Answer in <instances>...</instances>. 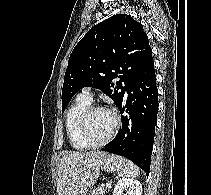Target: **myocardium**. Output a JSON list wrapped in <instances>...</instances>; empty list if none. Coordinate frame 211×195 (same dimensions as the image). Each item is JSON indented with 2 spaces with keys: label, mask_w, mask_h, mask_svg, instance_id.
Instances as JSON below:
<instances>
[{
  "label": "myocardium",
  "mask_w": 211,
  "mask_h": 195,
  "mask_svg": "<svg viewBox=\"0 0 211 195\" xmlns=\"http://www.w3.org/2000/svg\"><path fill=\"white\" fill-rule=\"evenodd\" d=\"M98 110L109 111L114 117L115 124H114L112 131L105 139H103L99 142H93L88 138L86 128H87V122H88L89 117L91 116V114L93 112L98 111ZM120 126H121V118H120L119 114L114 109H112L108 106H104V105H89L80 116L79 123H78V132H79L81 139L89 147H101V146H104L105 144L109 143L115 137L118 130L120 129Z\"/></svg>",
  "instance_id": "myocardium-1"
}]
</instances>
